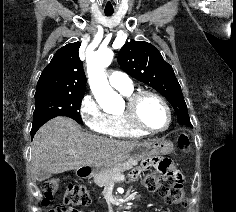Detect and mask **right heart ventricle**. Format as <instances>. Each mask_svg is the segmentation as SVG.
<instances>
[{"label":"right heart ventricle","mask_w":236,"mask_h":212,"mask_svg":"<svg viewBox=\"0 0 236 212\" xmlns=\"http://www.w3.org/2000/svg\"><path fill=\"white\" fill-rule=\"evenodd\" d=\"M117 90L127 97L134 91V87L131 85ZM104 134L114 138H138L145 135L131 127L122 113L107 115Z\"/></svg>","instance_id":"1"}]
</instances>
